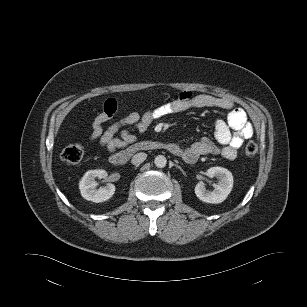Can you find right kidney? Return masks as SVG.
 Here are the masks:
<instances>
[{
    "mask_svg": "<svg viewBox=\"0 0 307 307\" xmlns=\"http://www.w3.org/2000/svg\"><path fill=\"white\" fill-rule=\"evenodd\" d=\"M106 176L107 173L105 170L95 169L87 171L79 183L82 197L95 203L110 199L115 193V186L113 184H107V186L97 189L98 184L95 181V178L102 179Z\"/></svg>",
    "mask_w": 307,
    "mask_h": 307,
    "instance_id": "ca27d5eb",
    "label": "right kidney"
}]
</instances>
